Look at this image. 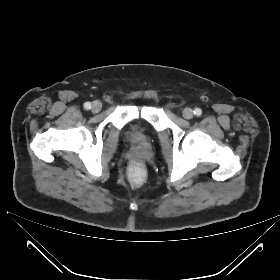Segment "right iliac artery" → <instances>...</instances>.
Here are the masks:
<instances>
[{
	"label": "right iliac artery",
	"instance_id": "82829eb1",
	"mask_svg": "<svg viewBox=\"0 0 280 280\" xmlns=\"http://www.w3.org/2000/svg\"><path fill=\"white\" fill-rule=\"evenodd\" d=\"M84 108L85 109H90L91 108V103L90 102H86L85 104H84Z\"/></svg>",
	"mask_w": 280,
	"mask_h": 280
}]
</instances>
